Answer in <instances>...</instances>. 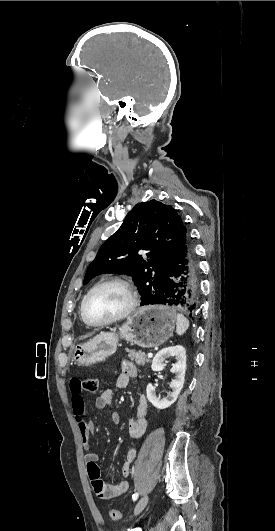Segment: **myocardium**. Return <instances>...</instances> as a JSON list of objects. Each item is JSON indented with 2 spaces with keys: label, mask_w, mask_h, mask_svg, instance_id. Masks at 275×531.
I'll list each match as a JSON object with an SVG mask.
<instances>
[{
  "label": "myocardium",
  "mask_w": 275,
  "mask_h": 531,
  "mask_svg": "<svg viewBox=\"0 0 275 531\" xmlns=\"http://www.w3.org/2000/svg\"><path fill=\"white\" fill-rule=\"evenodd\" d=\"M111 284L119 285V286L123 287L126 290V292L128 294V297H129V302H128L127 308L122 313H120L119 315L114 316V317H112V318H110L108 320L101 321V322H91V321H89L85 317V314H84V305H85L86 300L88 299V297L93 292H95L99 288H101L103 286H106V285H111ZM137 299H138L137 291H136V289L134 288V286L132 285V283L128 279H126L124 277H119V276L109 277V278H106V279L98 282L97 284H95L84 295V297L82 298L81 303H80V316H81V319L83 320V322L86 325L91 326V327H103V326L111 325V324L117 323L119 321H122V320L126 319L128 316H130L132 314V312L134 311L136 305H137Z\"/></svg>",
  "instance_id": "f54148a6"
}]
</instances>
